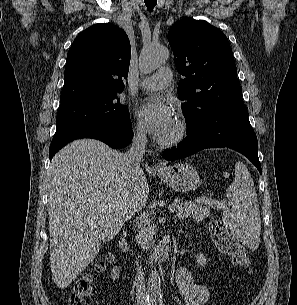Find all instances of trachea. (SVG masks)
<instances>
[{
    "label": "trachea",
    "instance_id": "obj_1",
    "mask_svg": "<svg viewBox=\"0 0 297 305\" xmlns=\"http://www.w3.org/2000/svg\"><path fill=\"white\" fill-rule=\"evenodd\" d=\"M148 11H152L157 4V0H144Z\"/></svg>",
    "mask_w": 297,
    "mask_h": 305
}]
</instances>
